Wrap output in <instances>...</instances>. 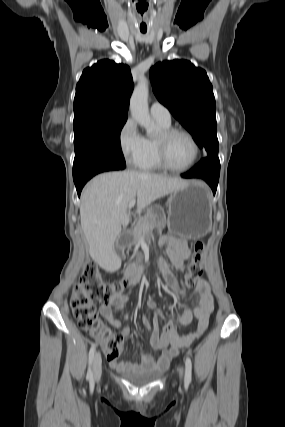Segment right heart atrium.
Masks as SVG:
<instances>
[{
    "instance_id": "obj_1",
    "label": "right heart atrium",
    "mask_w": 285,
    "mask_h": 427,
    "mask_svg": "<svg viewBox=\"0 0 285 427\" xmlns=\"http://www.w3.org/2000/svg\"><path fill=\"white\" fill-rule=\"evenodd\" d=\"M144 140L135 120L127 118L118 134L119 148L127 163H137L144 148Z\"/></svg>"
}]
</instances>
